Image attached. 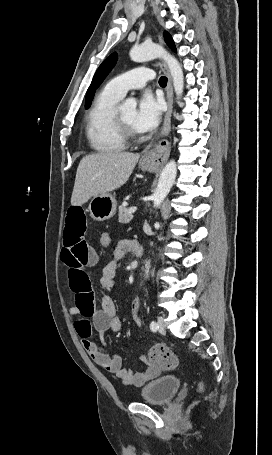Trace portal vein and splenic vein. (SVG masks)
Returning a JSON list of instances; mask_svg holds the SVG:
<instances>
[{"label":"portal vein and splenic vein","instance_id":"obj_1","mask_svg":"<svg viewBox=\"0 0 272 455\" xmlns=\"http://www.w3.org/2000/svg\"><path fill=\"white\" fill-rule=\"evenodd\" d=\"M136 209H137L136 207H131V208L129 209V213H130V214L135 213Z\"/></svg>","mask_w":272,"mask_h":455}]
</instances>
